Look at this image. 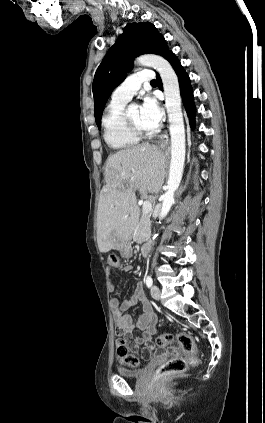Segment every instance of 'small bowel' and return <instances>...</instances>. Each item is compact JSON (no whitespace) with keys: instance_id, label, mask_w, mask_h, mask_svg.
<instances>
[{"instance_id":"small-bowel-1","label":"small bowel","mask_w":265,"mask_h":423,"mask_svg":"<svg viewBox=\"0 0 265 423\" xmlns=\"http://www.w3.org/2000/svg\"><path fill=\"white\" fill-rule=\"evenodd\" d=\"M130 268V266L124 267L125 270H130ZM108 287L110 291H115V286L111 278L109 279ZM138 303L142 305L143 312L134 325L132 317L127 313V310ZM111 307L113 309L116 330L119 334L125 336V341L119 340L118 344L124 342L130 352H141L144 358H149L154 347L153 336L156 331L157 315L153 311L143 289L137 286L132 296L122 302L113 298L111 300ZM135 328L142 332L140 336L133 335Z\"/></svg>"}]
</instances>
